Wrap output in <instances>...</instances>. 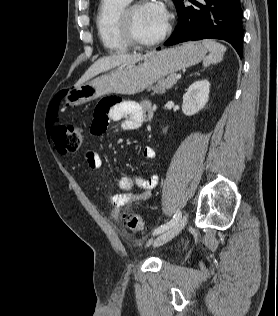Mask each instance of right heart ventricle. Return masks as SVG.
Listing matches in <instances>:
<instances>
[{"mask_svg":"<svg viewBox=\"0 0 278 316\" xmlns=\"http://www.w3.org/2000/svg\"><path fill=\"white\" fill-rule=\"evenodd\" d=\"M130 1H100L96 15V27L104 48L109 52H125L130 46L121 29V15Z\"/></svg>","mask_w":278,"mask_h":316,"instance_id":"right-heart-ventricle-1","label":"right heart ventricle"}]
</instances>
